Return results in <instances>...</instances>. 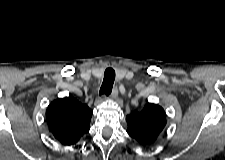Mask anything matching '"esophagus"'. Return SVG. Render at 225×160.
<instances>
[{"label":"esophagus","mask_w":225,"mask_h":160,"mask_svg":"<svg viewBox=\"0 0 225 160\" xmlns=\"http://www.w3.org/2000/svg\"><path fill=\"white\" fill-rule=\"evenodd\" d=\"M118 96V89L115 87L110 95L111 99H116Z\"/></svg>","instance_id":"34e87169"}]
</instances>
